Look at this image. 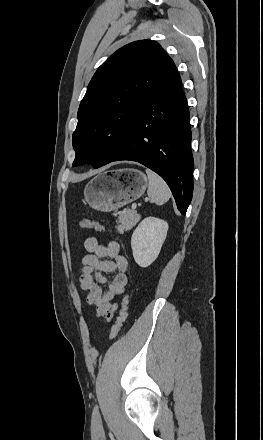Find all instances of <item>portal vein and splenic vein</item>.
I'll return each mask as SVG.
<instances>
[{
	"mask_svg": "<svg viewBox=\"0 0 263 440\" xmlns=\"http://www.w3.org/2000/svg\"><path fill=\"white\" fill-rule=\"evenodd\" d=\"M136 207H137L136 203H133V204H132V209L135 210Z\"/></svg>",
	"mask_w": 263,
	"mask_h": 440,
	"instance_id": "portal-vein-and-splenic-vein-1",
	"label": "portal vein and splenic vein"
}]
</instances>
